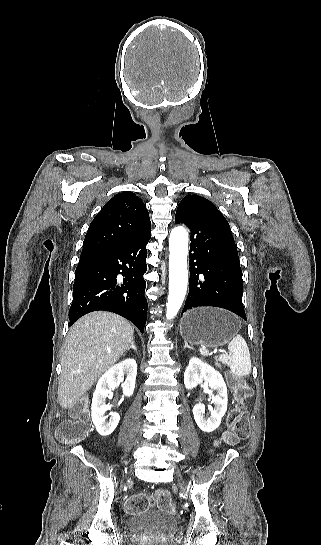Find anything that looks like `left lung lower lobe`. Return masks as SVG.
Segmentation results:
<instances>
[{
    "instance_id": "0a47b994",
    "label": "left lung lower lobe",
    "mask_w": 321,
    "mask_h": 545,
    "mask_svg": "<svg viewBox=\"0 0 321 545\" xmlns=\"http://www.w3.org/2000/svg\"><path fill=\"white\" fill-rule=\"evenodd\" d=\"M176 223L191 231L189 293L181 315L200 306L221 307L246 320L243 280L230 226L216 206L178 210Z\"/></svg>"
}]
</instances>
